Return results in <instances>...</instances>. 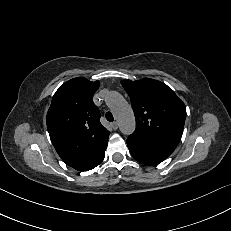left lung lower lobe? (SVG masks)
I'll return each mask as SVG.
<instances>
[{"label": "left lung lower lobe", "instance_id": "left-lung-lower-lobe-1", "mask_svg": "<svg viewBox=\"0 0 231 231\" xmlns=\"http://www.w3.org/2000/svg\"><path fill=\"white\" fill-rule=\"evenodd\" d=\"M129 151L133 158L137 160L140 163L146 164V165H157L164 161L168 155L161 154V153H155L148 151L146 149H143L142 147L138 146L137 144L126 141Z\"/></svg>", "mask_w": 231, "mask_h": 231}]
</instances>
